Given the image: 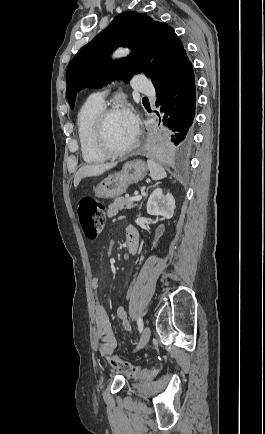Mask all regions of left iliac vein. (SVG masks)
I'll return each instance as SVG.
<instances>
[{"label": "left iliac vein", "mask_w": 265, "mask_h": 434, "mask_svg": "<svg viewBox=\"0 0 265 434\" xmlns=\"http://www.w3.org/2000/svg\"><path fill=\"white\" fill-rule=\"evenodd\" d=\"M150 334H151L150 328L149 327H145L143 329V332H142L140 341H139V343H138V345L136 347V350H140L141 348H143L147 344V342L150 339Z\"/></svg>", "instance_id": "4c4485c4"}]
</instances>
